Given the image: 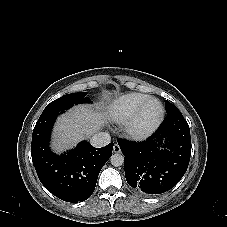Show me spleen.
Instances as JSON below:
<instances>
[{
	"instance_id": "spleen-1",
	"label": "spleen",
	"mask_w": 227,
	"mask_h": 227,
	"mask_svg": "<svg viewBox=\"0 0 227 227\" xmlns=\"http://www.w3.org/2000/svg\"><path fill=\"white\" fill-rule=\"evenodd\" d=\"M151 147L155 155L161 158H166L174 152L175 143L171 136L165 133H160L152 139Z\"/></svg>"
}]
</instances>
